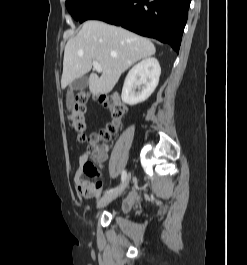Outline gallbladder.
I'll return each instance as SVG.
<instances>
[{"mask_svg":"<svg viewBox=\"0 0 247 265\" xmlns=\"http://www.w3.org/2000/svg\"><path fill=\"white\" fill-rule=\"evenodd\" d=\"M87 86H88V78L86 76H82L71 82L67 93V104L69 106L73 105V92L75 90H83Z\"/></svg>","mask_w":247,"mask_h":265,"instance_id":"gallbladder-1","label":"gallbladder"}]
</instances>
